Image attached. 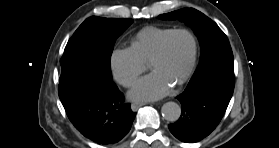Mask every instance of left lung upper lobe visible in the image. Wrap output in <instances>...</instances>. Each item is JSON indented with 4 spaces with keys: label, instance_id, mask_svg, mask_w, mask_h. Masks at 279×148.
Masks as SVG:
<instances>
[{
    "label": "left lung upper lobe",
    "instance_id": "left-lung-upper-lobe-1",
    "mask_svg": "<svg viewBox=\"0 0 279 148\" xmlns=\"http://www.w3.org/2000/svg\"><path fill=\"white\" fill-rule=\"evenodd\" d=\"M160 19H178L190 26L199 39L201 55L198 68L193 77L208 68L222 63H233V53L227 36L210 18L193 8H184L168 14L159 15Z\"/></svg>",
    "mask_w": 279,
    "mask_h": 148
}]
</instances>
